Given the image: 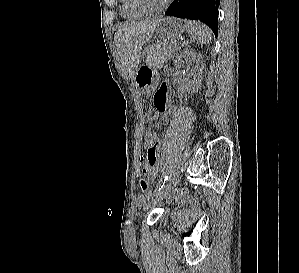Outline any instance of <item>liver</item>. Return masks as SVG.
I'll return each mask as SVG.
<instances>
[{"mask_svg":"<svg viewBox=\"0 0 299 273\" xmlns=\"http://www.w3.org/2000/svg\"><path fill=\"white\" fill-rule=\"evenodd\" d=\"M161 19L124 23L115 33L114 41L123 65L134 76L140 61L141 50L151 38Z\"/></svg>","mask_w":299,"mask_h":273,"instance_id":"obj_1","label":"liver"}]
</instances>
